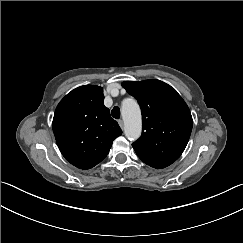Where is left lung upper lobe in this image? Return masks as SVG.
<instances>
[{
    "instance_id": "5c2ea615",
    "label": "left lung upper lobe",
    "mask_w": 243,
    "mask_h": 243,
    "mask_svg": "<svg viewBox=\"0 0 243 243\" xmlns=\"http://www.w3.org/2000/svg\"><path fill=\"white\" fill-rule=\"evenodd\" d=\"M122 86L138 101L142 111V135L132 146L147 165L161 169L184 151L192 116L182 97L160 80L125 81Z\"/></svg>"
}]
</instances>
